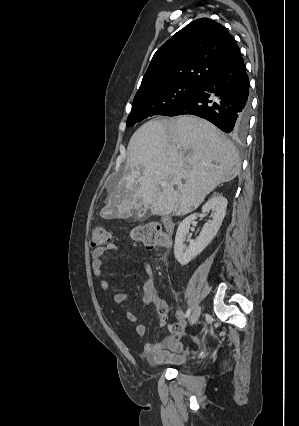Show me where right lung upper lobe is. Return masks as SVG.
Masks as SVG:
<instances>
[{
	"mask_svg": "<svg viewBox=\"0 0 299 426\" xmlns=\"http://www.w3.org/2000/svg\"><path fill=\"white\" fill-rule=\"evenodd\" d=\"M240 55L224 26L208 18L197 19L156 51L135 98L177 83L201 86Z\"/></svg>",
	"mask_w": 299,
	"mask_h": 426,
	"instance_id": "1",
	"label": "right lung upper lobe"
}]
</instances>
